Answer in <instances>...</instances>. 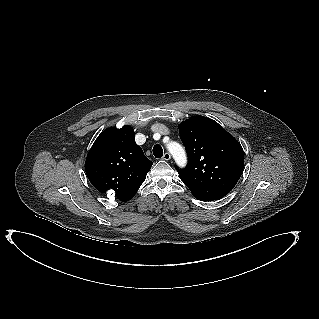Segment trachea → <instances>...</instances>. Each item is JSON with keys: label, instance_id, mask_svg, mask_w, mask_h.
<instances>
[{"label": "trachea", "instance_id": "1", "mask_svg": "<svg viewBox=\"0 0 319 319\" xmlns=\"http://www.w3.org/2000/svg\"><path fill=\"white\" fill-rule=\"evenodd\" d=\"M153 154H154V156H155L156 158H161V157H162V155H163V149H162V147H161L159 144H157V145H155V146L153 147Z\"/></svg>", "mask_w": 319, "mask_h": 319}]
</instances>
